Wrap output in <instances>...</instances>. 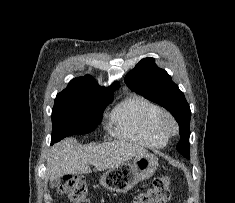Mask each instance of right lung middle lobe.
<instances>
[{
	"mask_svg": "<svg viewBox=\"0 0 235 203\" xmlns=\"http://www.w3.org/2000/svg\"><path fill=\"white\" fill-rule=\"evenodd\" d=\"M113 100V93L62 91L58 93L52 110L51 144L75 134L94 131L100 124L105 107Z\"/></svg>",
	"mask_w": 235,
	"mask_h": 203,
	"instance_id": "obj_1",
	"label": "right lung middle lobe"
}]
</instances>
